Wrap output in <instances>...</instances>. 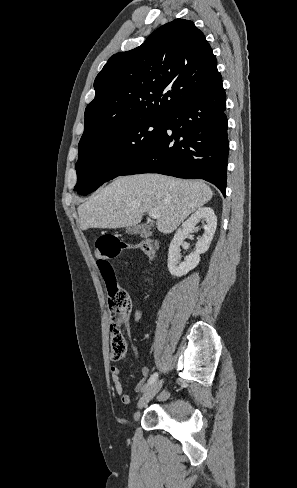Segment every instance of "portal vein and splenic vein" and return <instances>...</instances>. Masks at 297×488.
Returning <instances> with one entry per match:
<instances>
[{
  "label": "portal vein and splenic vein",
  "instance_id": "portal-vein-and-splenic-vein-1",
  "mask_svg": "<svg viewBox=\"0 0 297 488\" xmlns=\"http://www.w3.org/2000/svg\"><path fill=\"white\" fill-rule=\"evenodd\" d=\"M148 215L152 218H159L160 217V213L156 209L149 210Z\"/></svg>",
  "mask_w": 297,
  "mask_h": 488
}]
</instances>
